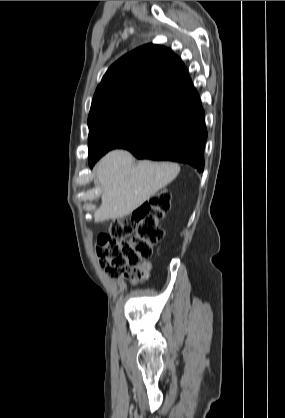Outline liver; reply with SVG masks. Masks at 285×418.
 Returning a JSON list of instances; mask_svg holds the SVG:
<instances>
[{"instance_id": "liver-1", "label": "liver", "mask_w": 285, "mask_h": 418, "mask_svg": "<svg viewBox=\"0 0 285 418\" xmlns=\"http://www.w3.org/2000/svg\"><path fill=\"white\" fill-rule=\"evenodd\" d=\"M133 163L132 154L125 150L111 151L97 163L96 182L103 193L101 205L94 212L95 222L130 215L180 172V166L170 162Z\"/></svg>"}]
</instances>
